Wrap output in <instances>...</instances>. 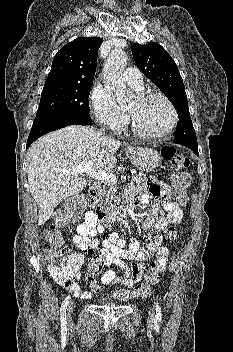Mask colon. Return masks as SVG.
Wrapping results in <instances>:
<instances>
[{
    "instance_id": "1",
    "label": "colon",
    "mask_w": 233,
    "mask_h": 352,
    "mask_svg": "<svg viewBox=\"0 0 233 352\" xmlns=\"http://www.w3.org/2000/svg\"><path fill=\"white\" fill-rule=\"evenodd\" d=\"M161 155L174 169V174L172 175L174 189L169 196V200L175 205L183 206L187 202L186 190L191 181L190 176L184 172V169L189 164V160L171 146L163 147ZM85 208L86 201L83 196L73 198L69 206L63 212L58 213L55 216L54 222L45 230V237L50 245L43 249V253L49 261L50 274L56 280L67 279L74 272L73 267L68 262V258L64 255V243L59 234V229L78 221L82 217ZM166 237L170 240L175 239L177 237V229L170 227L166 232ZM104 266H106V257L102 253L95 255L88 265L86 281L93 292L97 293L100 290L97 277ZM162 271L163 268L155 262L146 273L143 283L136 286L133 291L126 289L116 290L113 296L120 300L147 297L151 287L159 282Z\"/></svg>"
}]
</instances>
